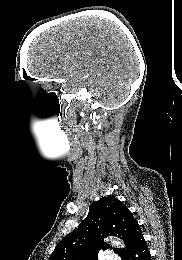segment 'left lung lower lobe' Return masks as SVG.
<instances>
[{
    "instance_id": "1",
    "label": "left lung lower lobe",
    "mask_w": 182,
    "mask_h": 260,
    "mask_svg": "<svg viewBox=\"0 0 182 260\" xmlns=\"http://www.w3.org/2000/svg\"><path fill=\"white\" fill-rule=\"evenodd\" d=\"M126 246V249L120 254L122 260H151L140 226L132 231Z\"/></svg>"
}]
</instances>
